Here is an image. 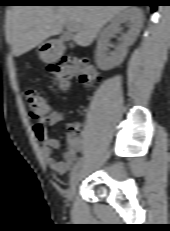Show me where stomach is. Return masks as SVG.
Masks as SVG:
<instances>
[{
	"label": "stomach",
	"instance_id": "obj_1",
	"mask_svg": "<svg viewBox=\"0 0 170 231\" xmlns=\"http://www.w3.org/2000/svg\"><path fill=\"white\" fill-rule=\"evenodd\" d=\"M39 55L42 59L48 60V51H40Z\"/></svg>",
	"mask_w": 170,
	"mask_h": 231
}]
</instances>
